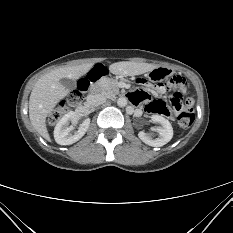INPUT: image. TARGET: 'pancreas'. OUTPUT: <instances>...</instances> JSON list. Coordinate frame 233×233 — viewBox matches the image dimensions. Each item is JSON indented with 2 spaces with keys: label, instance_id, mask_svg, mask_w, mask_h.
<instances>
[{
  "label": "pancreas",
  "instance_id": "obj_1",
  "mask_svg": "<svg viewBox=\"0 0 233 233\" xmlns=\"http://www.w3.org/2000/svg\"><path fill=\"white\" fill-rule=\"evenodd\" d=\"M99 84L101 86L102 92L108 97H113L119 92L118 81L115 79L103 78L100 80Z\"/></svg>",
  "mask_w": 233,
  "mask_h": 233
}]
</instances>
